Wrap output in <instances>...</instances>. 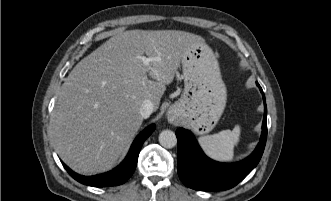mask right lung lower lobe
Instances as JSON below:
<instances>
[{"mask_svg":"<svg viewBox=\"0 0 331 201\" xmlns=\"http://www.w3.org/2000/svg\"><path fill=\"white\" fill-rule=\"evenodd\" d=\"M155 130V125L148 126L143 130L134 140L128 155L125 160L117 166L112 171H109L104 174H99L95 176H82L73 172L69 167H67L63 162L64 168L67 172L78 182L93 186V187H106V186H117L125 183L133 174L137 161L139 152L144 141L149 137L152 132Z\"/></svg>","mask_w":331,"mask_h":201,"instance_id":"98d812e1","label":"right lung lower lobe"}]
</instances>
